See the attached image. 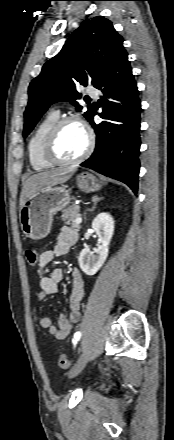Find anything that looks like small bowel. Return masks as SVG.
<instances>
[{
  "instance_id": "1",
  "label": "small bowel",
  "mask_w": 174,
  "mask_h": 440,
  "mask_svg": "<svg viewBox=\"0 0 174 440\" xmlns=\"http://www.w3.org/2000/svg\"><path fill=\"white\" fill-rule=\"evenodd\" d=\"M77 241V233L64 227L57 236V243L51 250L43 251L39 256V275L40 291L37 300L42 301L46 296L53 295L58 291V285L63 279L61 268H54L46 273L45 268L55 257L67 254L70 247ZM72 291L69 297V315L61 314L58 318V324L54 325L49 317H43L40 320L41 328L47 330L57 340H64L73 330V327L81 319V301L84 295L85 280L78 269L72 271Z\"/></svg>"
}]
</instances>
